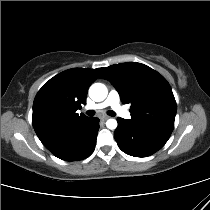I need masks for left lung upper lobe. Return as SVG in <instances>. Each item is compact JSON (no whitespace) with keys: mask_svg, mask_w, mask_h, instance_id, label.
Segmentation results:
<instances>
[{"mask_svg":"<svg viewBox=\"0 0 210 210\" xmlns=\"http://www.w3.org/2000/svg\"><path fill=\"white\" fill-rule=\"evenodd\" d=\"M100 78L109 80L124 104H131V119L136 128L172 133L176 101L166 79L152 68L136 62L106 67Z\"/></svg>","mask_w":210,"mask_h":210,"instance_id":"5c2ea615","label":"left lung upper lobe"}]
</instances>
